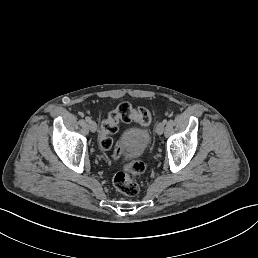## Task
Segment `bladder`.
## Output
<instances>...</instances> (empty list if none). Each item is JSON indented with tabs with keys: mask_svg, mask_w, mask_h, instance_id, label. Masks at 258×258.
<instances>
[{
	"mask_svg": "<svg viewBox=\"0 0 258 258\" xmlns=\"http://www.w3.org/2000/svg\"><path fill=\"white\" fill-rule=\"evenodd\" d=\"M150 135L146 128L134 127L126 130L122 136L125 155L138 157L142 155L149 143Z\"/></svg>",
	"mask_w": 258,
	"mask_h": 258,
	"instance_id": "1",
	"label": "bladder"
}]
</instances>
